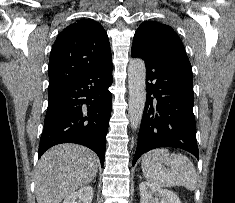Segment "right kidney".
I'll list each match as a JSON object with an SVG mask.
<instances>
[{
	"label": "right kidney",
	"mask_w": 235,
	"mask_h": 203,
	"mask_svg": "<svg viewBox=\"0 0 235 203\" xmlns=\"http://www.w3.org/2000/svg\"><path fill=\"white\" fill-rule=\"evenodd\" d=\"M92 186H83L77 192L71 193L63 203H91L93 199Z\"/></svg>",
	"instance_id": "1"
}]
</instances>
